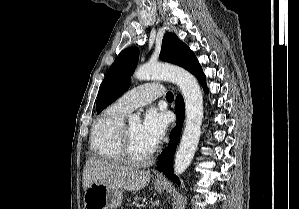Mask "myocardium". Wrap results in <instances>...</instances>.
Listing matches in <instances>:
<instances>
[{"mask_svg": "<svg viewBox=\"0 0 299 209\" xmlns=\"http://www.w3.org/2000/svg\"><path fill=\"white\" fill-rule=\"evenodd\" d=\"M155 152L156 151L153 149L150 152V154H148L146 157L141 159L135 158L131 153L130 139L127 131V126H123L121 131V154L125 163L135 167L146 166L152 161Z\"/></svg>", "mask_w": 299, "mask_h": 209, "instance_id": "myocardium-1", "label": "myocardium"}]
</instances>
